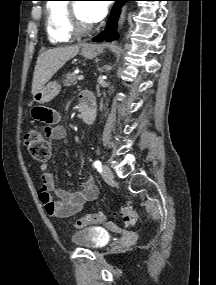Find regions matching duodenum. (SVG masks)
Wrapping results in <instances>:
<instances>
[{"label":"duodenum","mask_w":216,"mask_h":285,"mask_svg":"<svg viewBox=\"0 0 216 285\" xmlns=\"http://www.w3.org/2000/svg\"><path fill=\"white\" fill-rule=\"evenodd\" d=\"M96 116V108L93 102L86 101L81 107V118L86 124H90L94 121Z\"/></svg>","instance_id":"410a0bca"}]
</instances>
